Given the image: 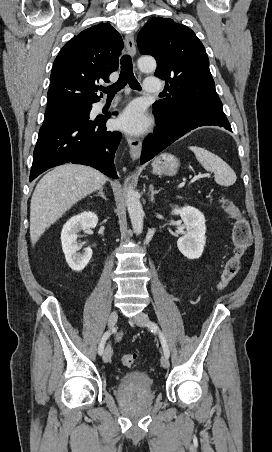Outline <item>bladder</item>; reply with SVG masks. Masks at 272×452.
I'll return each instance as SVG.
<instances>
[{"label":"bladder","instance_id":"1","mask_svg":"<svg viewBox=\"0 0 272 452\" xmlns=\"http://www.w3.org/2000/svg\"><path fill=\"white\" fill-rule=\"evenodd\" d=\"M118 385L121 388L151 390L153 379L148 373L142 371H130L119 378Z\"/></svg>","mask_w":272,"mask_h":452}]
</instances>
